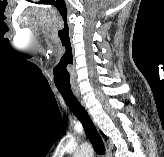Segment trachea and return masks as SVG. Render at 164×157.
<instances>
[{
    "label": "trachea",
    "mask_w": 164,
    "mask_h": 157,
    "mask_svg": "<svg viewBox=\"0 0 164 157\" xmlns=\"http://www.w3.org/2000/svg\"><path fill=\"white\" fill-rule=\"evenodd\" d=\"M58 91L61 93L69 109L82 123L84 130L86 132L87 138L90 140L91 144L93 145L95 152L98 155H103L105 153L104 143L100 135L98 134L92 120L90 119L87 111L80 104V102L75 97L71 89L70 90L58 89Z\"/></svg>",
    "instance_id": "1"
}]
</instances>
